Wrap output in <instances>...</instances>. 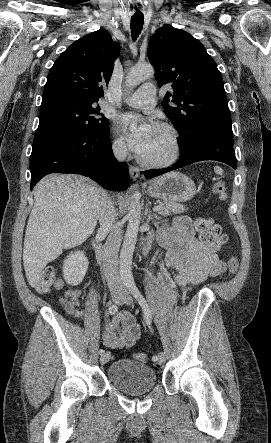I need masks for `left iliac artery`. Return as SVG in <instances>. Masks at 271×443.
<instances>
[{
    "mask_svg": "<svg viewBox=\"0 0 271 443\" xmlns=\"http://www.w3.org/2000/svg\"><path fill=\"white\" fill-rule=\"evenodd\" d=\"M129 291L134 296V298L138 301L139 305L142 308L143 314H144V320H145L146 324L148 326H150L151 322H152V313L149 308V305L147 304V301L145 300V298L143 297V295L141 294V292L138 290V288L136 287V285L134 283H131L129 285ZM152 360L154 362L158 361V356L154 355L152 357Z\"/></svg>",
    "mask_w": 271,
    "mask_h": 443,
    "instance_id": "left-iliac-artery-1",
    "label": "left iliac artery"
}]
</instances>
